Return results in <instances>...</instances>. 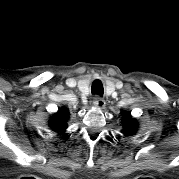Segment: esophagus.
Wrapping results in <instances>:
<instances>
[{
  "label": "esophagus",
  "mask_w": 179,
  "mask_h": 179,
  "mask_svg": "<svg viewBox=\"0 0 179 179\" xmlns=\"http://www.w3.org/2000/svg\"><path fill=\"white\" fill-rule=\"evenodd\" d=\"M93 104L98 108H104L105 107V100L99 96H96L94 98Z\"/></svg>",
  "instance_id": "34e87169"
}]
</instances>
